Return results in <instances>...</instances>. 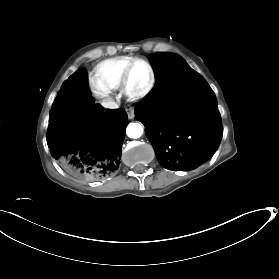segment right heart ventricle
I'll list each match as a JSON object with an SVG mask.
<instances>
[{
  "mask_svg": "<svg viewBox=\"0 0 279 279\" xmlns=\"http://www.w3.org/2000/svg\"><path fill=\"white\" fill-rule=\"evenodd\" d=\"M131 58L130 56H118L100 62L93 70V85L105 92L121 89L123 69Z\"/></svg>",
  "mask_w": 279,
  "mask_h": 279,
  "instance_id": "e07e8e85",
  "label": "right heart ventricle"
}]
</instances>
